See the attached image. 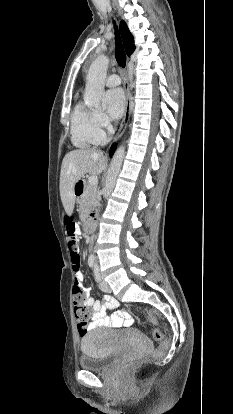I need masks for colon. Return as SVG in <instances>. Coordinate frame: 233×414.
<instances>
[{"mask_svg":"<svg viewBox=\"0 0 233 414\" xmlns=\"http://www.w3.org/2000/svg\"><path fill=\"white\" fill-rule=\"evenodd\" d=\"M67 237H68V246L70 253L74 250L78 251V242H77V236L75 235V232L77 231L76 224L72 221H69L67 223ZM73 302H74V313L75 318L77 322V327L80 332V334L86 333V331L89 329V327L92 324V311L89 309L87 303H86V295L85 292H83L80 295H76L73 293ZM157 312L155 310L150 311V318L152 322H156ZM152 337L159 341L163 338L162 331L158 328H155L152 331ZM166 348V344L162 343L159 348L156 351V354H159ZM135 361H130L128 363V366L134 365Z\"/></svg>","mask_w":233,"mask_h":414,"instance_id":"5ec220e1","label":"colon"}]
</instances>
